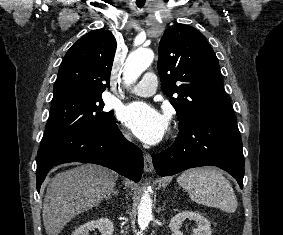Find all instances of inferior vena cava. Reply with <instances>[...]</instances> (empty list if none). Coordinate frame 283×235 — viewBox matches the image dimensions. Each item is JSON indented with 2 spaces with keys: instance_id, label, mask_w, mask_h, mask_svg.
Masks as SVG:
<instances>
[{
  "instance_id": "1",
  "label": "inferior vena cava",
  "mask_w": 283,
  "mask_h": 235,
  "mask_svg": "<svg viewBox=\"0 0 283 235\" xmlns=\"http://www.w3.org/2000/svg\"><path fill=\"white\" fill-rule=\"evenodd\" d=\"M125 137H126L128 140H131V135H130V134H126Z\"/></svg>"
}]
</instances>
